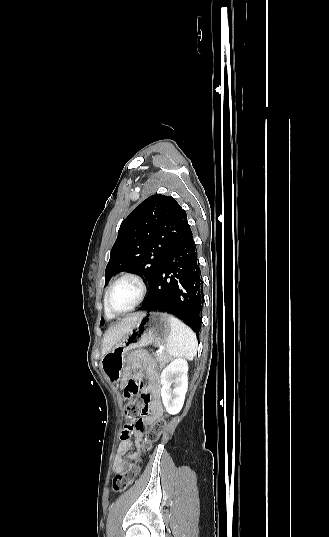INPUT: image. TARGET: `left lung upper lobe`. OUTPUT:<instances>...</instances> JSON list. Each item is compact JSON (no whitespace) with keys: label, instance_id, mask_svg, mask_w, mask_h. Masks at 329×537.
Here are the masks:
<instances>
[{"label":"left lung upper lobe","instance_id":"left-lung-upper-lobe-1","mask_svg":"<svg viewBox=\"0 0 329 537\" xmlns=\"http://www.w3.org/2000/svg\"><path fill=\"white\" fill-rule=\"evenodd\" d=\"M186 212L171 196L155 194L121 223L105 270V285L122 271L142 274L149 287L167 255L190 231Z\"/></svg>","mask_w":329,"mask_h":537}]
</instances>
